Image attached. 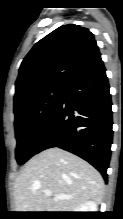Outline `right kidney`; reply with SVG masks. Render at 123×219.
<instances>
[{"instance_id": "1", "label": "right kidney", "mask_w": 123, "mask_h": 219, "mask_svg": "<svg viewBox=\"0 0 123 219\" xmlns=\"http://www.w3.org/2000/svg\"><path fill=\"white\" fill-rule=\"evenodd\" d=\"M97 204L94 201H87L75 210V212H97Z\"/></svg>"}]
</instances>
